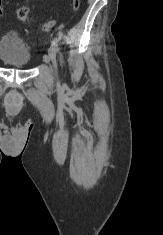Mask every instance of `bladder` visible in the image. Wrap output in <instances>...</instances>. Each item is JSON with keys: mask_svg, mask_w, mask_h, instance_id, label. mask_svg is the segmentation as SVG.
<instances>
[{"mask_svg": "<svg viewBox=\"0 0 163 235\" xmlns=\"http://www.w3.org/2000/svg\"><path fill=\"white\" fill-rule=\"evenodd\" d=\"M0 60L13 68H26L31 62V51L18 32L11 30L0 37Z\"/></svg>", "mask_w": 163, "mask_h": 235, "instance_id": "1", "label": "bladder"}]
</instances>
